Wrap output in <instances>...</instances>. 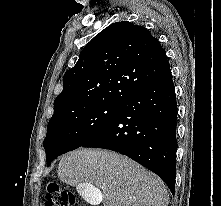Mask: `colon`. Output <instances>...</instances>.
Returning a JSON list of instances; mask_svg holds the SVG:
<instances>
[{
	"mask_svg": "<svg viewBox=\"0 0 221 206\" xmlns=\"http://www.w3.org/2000/svg\"><path fill=\"white\" fill-rule=\"evenodd\" d=\"M74 194L52 182L47 187L44 206H74Z\"/></svg>",
	"mask_w": 221,
	"mask_h": 206,
	"instance_id": "1",
	"label": "colon"
}]
</instances>
